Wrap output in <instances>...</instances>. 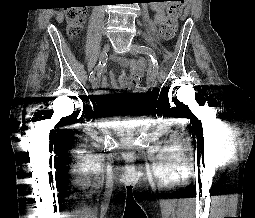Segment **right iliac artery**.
<instances>
[{"mask_svg":"<svg viewBox=\"0 0 255 218\" xmlns=\"http://www.w3.org/2000/svg\"><path fill=\"white\" fill-rule=\"evenodd\" d=\"M104 65L105 61L102 62L100 61L99 64L96 66L95 70L90 73L89 79L92 80L93 78H95V72L96 71L100 72Z\"/></svg>","mask_w":255,"mask_h":218,"instance_id":"1","label":"right iliac artery"}]
</instances>
